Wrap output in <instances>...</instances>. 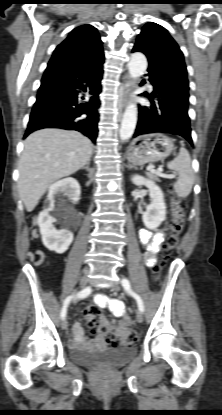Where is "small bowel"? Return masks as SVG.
<instances>
[{"label":"small bowel","mask_w":222,"mask_h":415,"mask_svg":"<svg viewBox=\"0 0 222 415\" xmlns=\"http://www.w3.org/2000/svg\"><path fill=\"white\" fill-rule=\"evenodd\" d=\"M140 242L145 248V262L151 266L155 263V256L164 240V232L159 231L153 233L149 230L143 229L140 232ZM95 301L101 307H108L114 316L124 318L125 309L120 300L110 299L105 295H98ZM73 330V346L96 347L102 348L105 345V337L101 334L97 335L94 340H87L84 336V331L79 322H75L72 327Z\"/></svg>","instance_id":"c3829d8e"}]
</instances>
